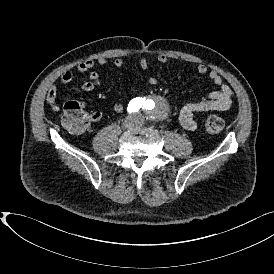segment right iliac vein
Masks as SVG:
<instances>
[{"label": "right iliac vein", "mask_w": 274, "mask_h": 274, "mask_svg": "<svg viewBox=\"0 0 274 274\" xmlns=\"http://www.w3.org/2000/svg\"><path fill=\"white\" fill-rule=\"evenodd\" d=\"M137 119L135 116H129L127 117L123 122V128L125 129H131L136 125Z\"/></svg>", "instance_id": "1"}]
</instances>
